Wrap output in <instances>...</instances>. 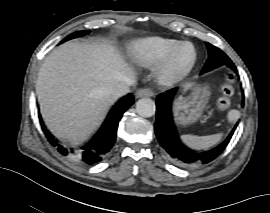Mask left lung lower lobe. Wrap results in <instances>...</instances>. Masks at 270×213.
<instances>
[{
	"mask_svg": "<svg viewBox=\"0 0 270 213\" xmlns=\"http://www.w3.org/2000/svg\"><path fill=\"white\" fill-rule=\"evenodd\" d=\"M231 68L238 74L235 65L231 66ZM176 91L177 89L168 90L167 92L160 94L156 99L157 110L155 132L158 141L165 150L170 161L177 166L194 167L209 163L224 151L237 124L228 137L217 147L204 152H195L188 149L180 141L172 119L171 105Z\"/></svg>",
	"mask_w": 270,
	"mask_h": 213,
	"instance_id": "left-lung-lower-lobe-1",
	"label": "left lung lower lobe"
}]
</instances>
